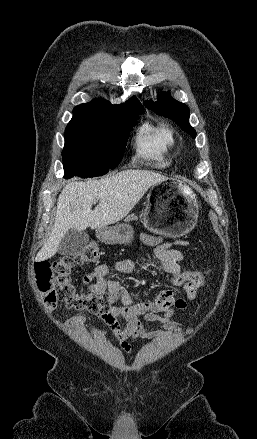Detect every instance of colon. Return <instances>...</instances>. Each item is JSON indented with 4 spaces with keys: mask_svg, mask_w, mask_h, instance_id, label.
Returning <instances> with one entry per match:
<instances>
[{
    "mask_svg": "<svg viewBox=\"0 0 257 439\" xmlns=\"http://www.w3.org/2000/svg\"><path fill=\"white\" fill-rule=\"evenodd\" d=\"M98 257L97 245L89 244L77 255H64L54 261L38 263L35 267V280L46 308L52 310L61 302L70 308L101 315L107 313L114 304H122L126 294L123 288L115 292L78 290L72 276L74 267L94 262ZM206 280L207 273L198 271H182L171 278L175 286L192 285L198 288L204 286Z\"/></svg>",
    "mask_w": 257,
    "mask_h": 439,
    "instance_id": "5ec220e1",
    "label": "colon"
}]
</instances>
